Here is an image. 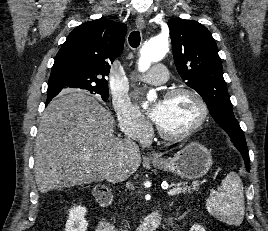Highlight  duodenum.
Masks as SVG:
<instances>
[{"instance_id":"obj_1","label":"duodenum","mask_w":268,"mask_h":231,"mask_svg":"<svg viewBox=\"0 0 268 231\" xmlns=\"http://www.w3.org/2000/svg\"><path fill=\"white\" fill-rule=\"evenodd\" d=\"M95 197L103 205L109 204L112 200V193L109 188L103 187L95 192ZM160 224L159 214L157 211L149 213L143 223L134 231H154ZM96 231H128L117 228L114 224L104 218H99Z\"/></svg>"}]
</instances>
